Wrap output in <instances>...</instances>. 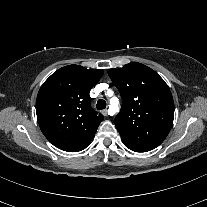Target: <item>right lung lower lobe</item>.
<instances>
[{
    "mask_svg": "<svg viewBox=\"0 0 207 207\" xmlns=\"http://www.w3.org/2000/svg\"><path fill=\"white\" fill-rule=\"evenodd\" d=\"M89 143H90V142H89ZM89 143H87V144H86L83 148H81L79 151L85 149V148L89 145Z\"/></svg>",
    "mask_w": 207,
    "mask_h": 207,
    "instance_id": "1",
    "label": "right lung lower lobe"
}]
</instances>
